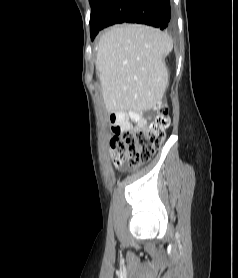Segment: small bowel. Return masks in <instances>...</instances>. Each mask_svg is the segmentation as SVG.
Returning a JSON list of instances; mask_svg holds the SVG:
<instances>
[{
	"instance_id": "1",
	"label": "small bowel",
	"mask_w": 238,
	"mask_h": 278,
	"mask_svg": "<svg viewBox=\"0 0 238 278\" xmlns=\"http://www.w3.org/2000/svg\"><path fill=\"white\" fill-rule=\"evenodd\" d=\"M109 121L114 133L125 130L144 129L148 124V119L143 117L141 111H133L130 113L116 111L109 116Z\"/></svg>"
}]
</instances>
